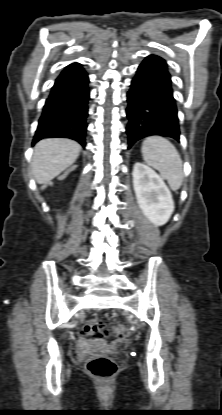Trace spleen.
I'll list each match as a JSON object with an SVG mask.
<instances>
[{
    "label": "spleen",
    "instance_id": "spleen-1",
    "mask_svg": "<svg viewBox=\"0 0 222 415\" xmlns=\"http://www.w3.org/2000/svg\"><path fill=\"white\" fill-rule=\"evenodd\" d=\"M141 152L144 161L159 171L173 191L181 187L184 178L182 160L169 140L161 136L147 137L142 143Z\"/></svg>",
    "mask_w": 222,
    "mask_h": 415
}]
</instances>
